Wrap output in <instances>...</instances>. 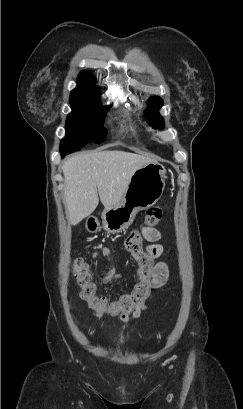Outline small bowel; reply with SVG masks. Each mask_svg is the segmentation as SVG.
Masks as SVG:
<instances>
[{
	"instance_id": "c3829d8e",
	"label": "small bowel",
	"mask_w": 243,
	"mask_h": 409,
	"mask_svg": "<svg viewBox=\"0 0 243 409\" xmlns=\"http://www.w3.org/2000/svg\"><path fill=\"white\" fill-rule=\"evenodd\" d=\"M141 232L144 239L149 242V245L146 248V253L143 258H135L140 264L138 272L140 282L137 286H143L149 292L151 289L161 287L166 283L169 276V268L164 261L156 262L152 268L153 261L159 258L164 252V248L159 242L162 236L161 232L155 227L142 229ZM112 254L113 251L111 248L103 247L95 251L92 256L93 263L96 262L99 256H102L105 262L110 266L108 273L100 278L103 284L110 283L114 275ZM146 267L149 268L148 273L144 272ZM146 309L147 306L144 304L135 305L127 311L116 314L117 319L122 323H129L132 320L140 318Z\"/></svg>"
}]
</instances>
